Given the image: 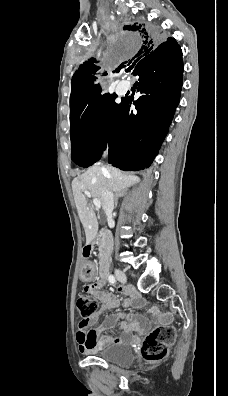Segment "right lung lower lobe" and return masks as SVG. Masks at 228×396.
Segmentation results:
<instances>
[{"mask_svg": "<svg viewBox=\"0 0 228 396\" xmlns=\"http://www.w3.org/2000/svg\"><path fill=\"white\" fill-rule=\"evenodd\" d=\"M133 75L141 96L133 102L122 99L107 141L108 163L124 171L148 168L167 134L183 81L180 46L176 41L160 44Z\"/></svg>", "mask_w": 228, "mask_h": 396, "instance_id": "obj_1", "label": "right lung lower lobe"}]
</instances>
